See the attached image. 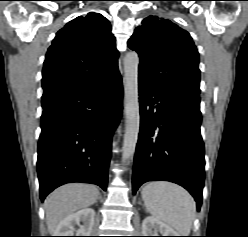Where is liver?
Listing matches in <instances>:
<instances>
[{
  "instance_id": "6515ba94",
  "label": "liver",
  "mask_w": 248,
  "mask_h": 237,
  "mask_svg": "<svg viewBox=\"0 0 248 237\" xmlns=\"http://www.w3.org/2000/svg\"><path fill=\"white\" fill-rule=\"evenodd\" d=\"M98 197V189L90 184H67L53 191L44 202L49 233L55 234L57 226L64 218L93 205Z\"/></svg>"
}]
</instances>
